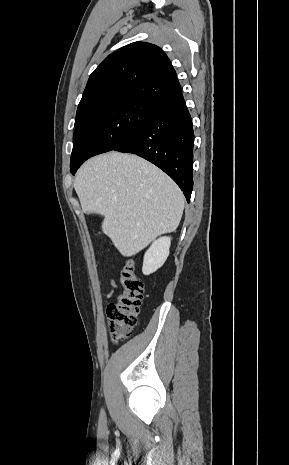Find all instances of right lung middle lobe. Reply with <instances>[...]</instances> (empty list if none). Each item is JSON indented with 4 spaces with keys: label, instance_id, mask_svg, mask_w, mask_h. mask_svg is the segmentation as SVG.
I'll return each instance as SVG.
<instances>
[{
    "label": "right lung middle lobe",
    "instance_id": "right-lung-middle-lobe-1",
    "mask_svg": "<svg viewBox=\"0 0 289 465\" xmlns=\"http://www.w3.org/2000/svg\"><path fill=\"white\" fill-rule=\"evenodd\" d=\"M157 109L156 102L121 101L101 108L76 123L70 167L124 143L151 119Z\"/></svg>",
    "mask_w": 289,
    "mask_h": 465
}]
</instances>
